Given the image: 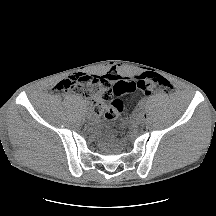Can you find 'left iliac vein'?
<instances>
[{
	"label": "left iliac vein",
	"mask_w": 216,
	"mask_h": 216,
	"mask_svg": "<svg viewBox=\"0 0 216 216\" xmlns=\"http://www.w3.org/2000/svg\"><path fill=\"white\" fill-rule=\"evenodd\" d=\"M145 120V113L144 112H138L137 115L135 116V122L137 124L143 123Z\"/></svg>",
	"instance_id": "1"
}]
</instances>
